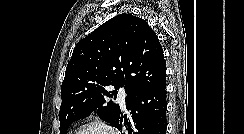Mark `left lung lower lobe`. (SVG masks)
<instances>
[{
	"label": "left lung lower lobe",
	"mask_w": 244,
	"mask_h": 134,
	"mask_svg": "<svg viewBox=\"0 0 244 134\" xmlns=\"http://www.w3.org/2000/svg\"><path fill=\"white\" fill-rule=\"evenodd\" d=\"M126 108L131 111L130 120L124 118L129 134H166V84L128 95ZM122 122L119 115L113 126L121 130Z\"/></svg>",
	"instance_id": "0a47b994"
}]
</instances>
